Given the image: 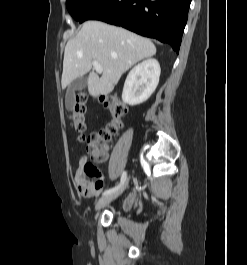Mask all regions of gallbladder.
Here are the masks:
<instances>
[{
	"label": "gallbladder",
	"mask_w": 247,
	"mask_h": 265,
	"mask_svg": "<svg viewBox=\"0 0 247 265\" xmlns=\"http://www.w3.org/2000/svg\"><path fill=\"white\" fill-rule=\"evenodd\" d=\"M86 86H87V78L85 76L76 78L69 84L66 92V107L68 110L73 109L75 91L83 90L86 88Z\"/></svg>",
	"instance_id": "bac80fb5"
}]
</instances>
